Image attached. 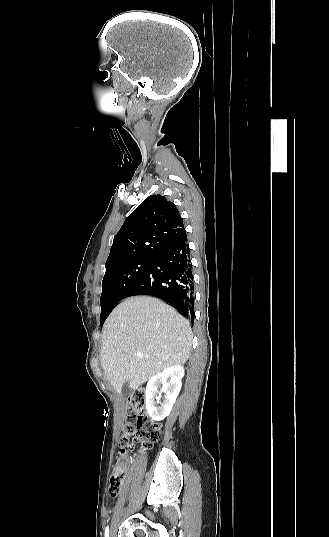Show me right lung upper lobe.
<instances>
[{
    "mask_svg": "<svg viewBox=\"0 0 329 537\" xmlns=\"http://www.w3.org/2000/svg\"><path fill=\"white\" fill-rule=\"evenodd\" d=\"M176 206L164 196L147 197L115 235L106 270L138 259H153L185 234Z\"/></svg>",
    "mask_w": 329,
    "mask_h": 537,
    "instance_id": "1",
    "label": "right lung upper lobe"
}]
</instances>
